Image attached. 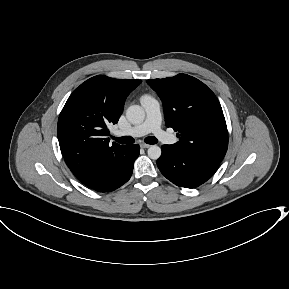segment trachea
<instances>
[{"label": "trachea", "instance_id": "obj_1", "mask_svg": "<svg viewBox=\"0 0 289 289\" xmlns=\"http://www.w3.org/2000/svg\"><path fill=\"white\" fill-rule=\"evenodd\" d=\"M113 139L115 141H117L118 143H121V144H132L135 141L130 136H124V137H120V138L113 137ZM144 141L147 144H156L157 143V139L155 137H152V136L145 138Z\"/></svg>", "mask_w": 289, "mask_h": 289}]
</instances>
